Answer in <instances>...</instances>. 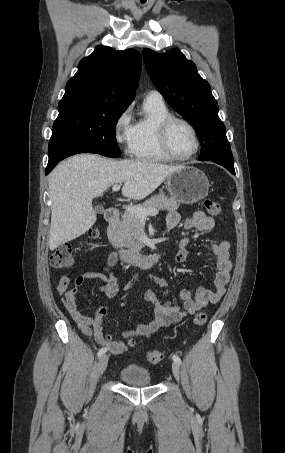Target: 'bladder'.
Returning a JSON list of instances; mask_svg holds the SVG:
<instances>
[{
  "mask_svg": "<svg viewBox=\"0 0 285 453\" xmlns=\"http://www.w3.org/2000/svg\"><path fill=\"white\" fill-rule=\"evenodd\" d=\"M120 379L131 386H149L152 378L149 370L137 364L125 365L119 373Z\"/></svg>",
  "mask_w": 285,
  "mask_h": 453,
  "instance_id": "31cf9c89",
  "label": "bladder"
}]
</instances>
